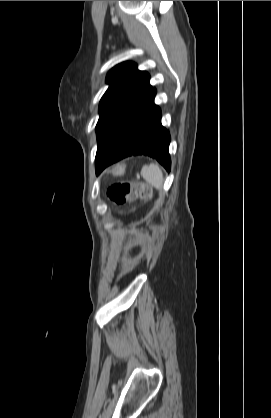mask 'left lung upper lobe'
<instances>
[{"label":"left lung upper lobe","instance_id":"1","mask_svg":"<svg viewBox=\"0 0 271 418\" xmlns=\"http://www.w3.org/2000/svg\"><path fill=\"white\" fill-rule=\"evenodd\" d=\"M150 76L136 64L124 62L111 69L106 77L109 88L99 105L96 125L98 149L113 129L151 91ZM97 149V150H98Z\"/></svg>","mask_w":271,"mask_h":418}]
</instances>
